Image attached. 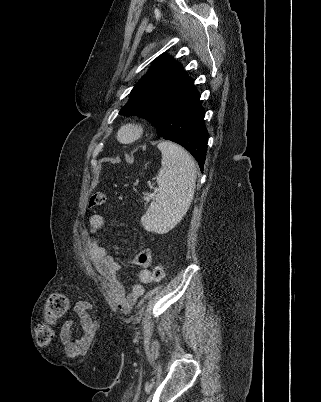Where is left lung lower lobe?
<instances>
[{"label":"left lung lower lobe","mask_w":321,"mask_h":402,"mask_svg":"<svg viewBox=\"0 0 321 402\" xmlns=\"http://www.w3.org/2000/svg\"><path fill=\"white\" fill-rule=\"evenodd\" d=\"M157 134L186 148L203 170L208 132L200 94L190 77L179 83L165 98L154 124Z\"/></svg>","instance_id":"left-lung-lower-lobe-1"}]
</instances>
